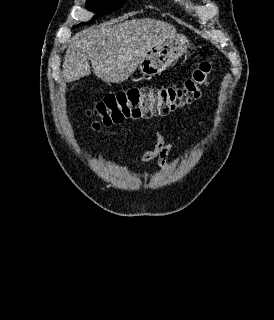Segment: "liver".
Here are the masks:
<instances>
[{
    "label": "liver",
    "instance_id": "1",
    "mask_svg": "<svg viewBox=\"0 0 274 320\" xmlns=\"http://www.w3.org/2000/svg\"><path fill=\"white\" fill-rule=\"evenodd\" d=\"M174 26L160 20H127L122 24H99L86 28L70 40L63 62L66 82L93 74L103 82H125L150 48L175 34Z\"/></svg>",
    "mask_w": 274,
    "mask_h": 320
}]
</instances>
